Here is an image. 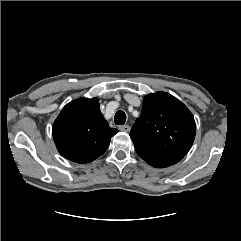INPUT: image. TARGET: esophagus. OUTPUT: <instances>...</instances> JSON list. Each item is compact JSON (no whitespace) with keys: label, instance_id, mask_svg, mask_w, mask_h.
I'll return each instance as SVG.
<instances>
[{"label":"esophagus","instance_id":"34e87169","mask_svg":"<svg viewBox=\"0 0 241 241\" xmlns=\"http://www.w3.org/2000/svg\"><path fill=\"white\" fill-rule=\"evenodd\" d=\"M119 130L123 131V132H129L130 131V126L129 125L119 126Z\"/></svg>","mask_w":241,"mask_h":241}]
</instances>
